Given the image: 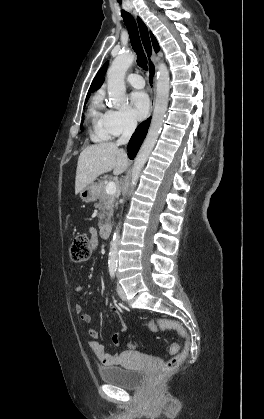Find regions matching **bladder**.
<instances>
[{
  "label": "bladder",
  "instance_id": "1",
  "mask_svg": "<svg viewBox=\"0 0 264 419\" xmlns=\"http://www.w3.org/2000/svg\"><path fill=\"white\" fill-rule=\"evenodd\" d=\"M99 375L104 383L123 389H136L145 379L143 369L126 368L122 366H109L99 370Z\"/></svg>",
  "mask_w": 264,
  "mask_h": 419
}]
</instances>
